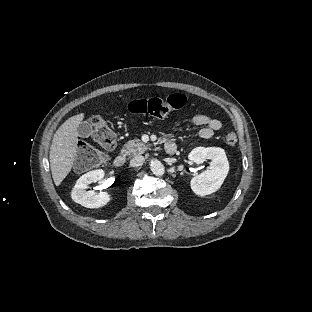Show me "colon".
I'll list each match as a JSON object with an SVG mask.
<instances>
[{"label":"colon","instance_id":"colon-1","mask_svg":"<svg viewBox=\"0 0 312 312\" xmlns=\"http://www.w3.org/2000/svg\"><path fill=\"white\" fill-rule=\"evenodd\" d=\"M185 104V97L181 93H171L167 98H143L132 101L129 104V111L134 114H147L156 119H163L170 112L181 109ZM90 129L92 136L101 146L102 150H84L79 153L81 163L89 167L105 161L107 151H111L116 146V134L112 124L102 116H94L90 119ZM225 141L229 146H235L237 135L228 132Z\"/></svg>","mask_w":312,"mask_h":312}]
</instances>
